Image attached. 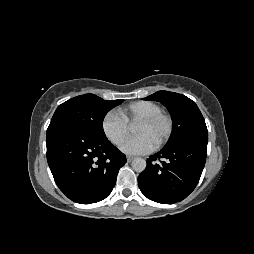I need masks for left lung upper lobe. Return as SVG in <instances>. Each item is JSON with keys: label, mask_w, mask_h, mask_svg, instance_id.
Listing matches in <instances>:
<instances>
[{"label": "left lung upper lobe", "mask_w": 254, "mask_h": 254, "mask_svg": "<svg viewBox=\"0 0 254 254\" xmlns=\"http://www.w3.org/2000/svg\"><path fill=\"white\" fill-rule=\"evenodd\" d=\"M161 102L170 112L172 133L164 148L190 140L208 141L205 120L196 103L188 97L168 91H158L146 98Z\"/></svg>", "instance_id": "left-lung-upper-lobe-1"}]
</instances>
